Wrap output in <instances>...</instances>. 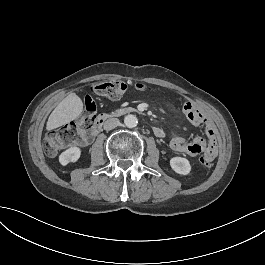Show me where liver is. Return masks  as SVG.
<instances>
[{
  "mask_svg": "<svg viewBox=\"0 0 265 265\" xmlns=\"http://www.w3.org/2000/svg\"><path fill=\"white\" fill-rule=\"evenodd\" d=\"M83 108L82 99L76 93L69 94L49 115L46 122V130L52 131L77 119L83 112Z\"/></svg>",
  "mask_w": 265,
  "mask_h": 265,
  "instance_id": "obj_1",
  "label": "liver"
}]
</instances>
